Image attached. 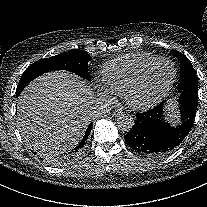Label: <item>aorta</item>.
<instances>
[{"label": "aorta", "instance_id": "aorta-1", "mask_svg": "<svg viewBox=\"0 0 207 207\" xmlns=\"http://www.w3.org/2000/svg\"><path fill=\"white\" fill-rule=\"evenodd\" d=\"M117 127L121 131L129 132L134 126V119L129 114H120L116 119Z\"/></svg>", "mask_w": 207, "mask_h": 207}]
</instances>
